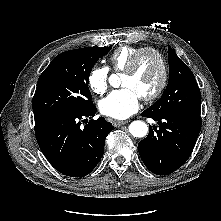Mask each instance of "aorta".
Masks as SVG:
<instances>
[{"instance_id": "762f6f07", "label": "aorta", "mask_w": 221, "mask_h": 221, "mask_svg": "<svg viewBox=\"0 0 221 221\" xmlns=\"http://www.w3.org/2000/svg\"><path fill=\"white\" fill-rule=\"evenodd\" d=\"M109 82L113 87H117L118 86V82H119V77L115 74H112L109 78ZM129 132L134 136V137H144L147 135L148 133V126L146 123H144L143 121H133L130 125H129Z\"/></svg>"}]
</instances>
